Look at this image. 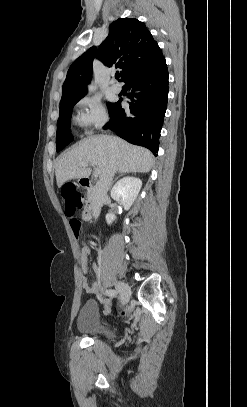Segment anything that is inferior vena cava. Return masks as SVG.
<instances>
[{
  "instance_id": "602c4592",
  "label": "inferior vena cava",
  "mask_w": 247,
  "mask_h": 407,
  "mask_svg": "<svg viewBox=\"0 0 247 407\" xmlns=\"http://www.w3.org/2000/svg\"><path fill=\"white\" fill-rule=\"evenodd\" d=\"M116 172V164L112 161L109 165L107 172L100 177L94 190V196L92 200L93 217L98 218L101 210V203L106 197L109 187L112 183L114 173Z\"/></svg>"
}]
</instances>
